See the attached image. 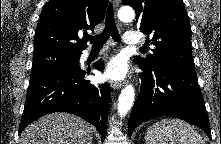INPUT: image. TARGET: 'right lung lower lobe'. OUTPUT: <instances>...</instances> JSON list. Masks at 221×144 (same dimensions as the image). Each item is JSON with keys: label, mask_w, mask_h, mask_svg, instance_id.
<instances>
[{"label": "right lung lower lobe", "mask_w": 221, "mask_h": 144, "mask_svg": "<svg viewBox=\"0 0 221 144\" xmlns=\"http://www.w3.org/2000/svg\"><path fill=\"white\" fill-rule=\"evenodd\" d=\"M103 69L102 61L95 64ZM90 69L83 70L77 63L59 67L31 79L22 114L19 134L36 119L54 112L77 115L93 124L103 141L106 134L111 91L108 83L93 85L85 76Z\"/></svg>", "instance_id": "obj_1"}]
</instances>
